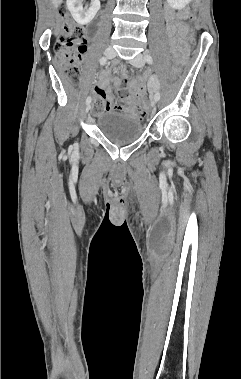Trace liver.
<instances>
[{
  "mask_svg": "<svg viewBox=\"0 0 241 379\" xmlns=\"http://www.w3.org/2000/svg\"><path fill=\"white\" fill-rule=\"evenodd\" d=\"M52 2L57 7L58 5H60V3L62 2V0H52Z\"/></svg>",
  "mask_w": 241,
  "mask_h": 379,
  "instance_id": "obj_1",
  "label": "liver"
}]
</instances>
